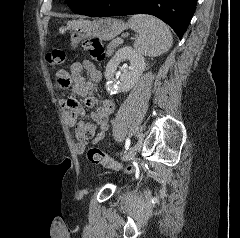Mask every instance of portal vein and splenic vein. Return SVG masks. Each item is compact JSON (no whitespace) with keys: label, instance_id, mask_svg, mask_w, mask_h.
Here are the masks:
<instances>
[{"label":"portal vein and splenic vein","instance_id":"1","mask_svg":"<svg viewBox=\"0 0 240 238\" xmlns=\"http://www.w3.org/2000/svg\"><path fill=\"white\" fill-rule=\"evenodd\" d=\"M118 41H119L120 43H122V42H123V40H122L121 38H118Z\"/></svg>","mask_w":240,"mask_h":238}]
</instances>
